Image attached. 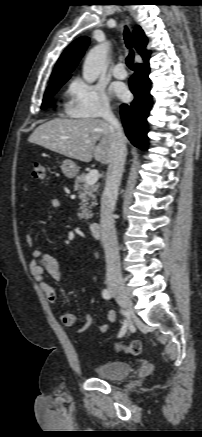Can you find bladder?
Instances as JSON below:
<instances>
[{
    "label": "bladder",
    "mask_w": 202,
    "mask_h": 437,
    "mask_svg": "<svg viewBox=\"0 0 202 437\" xmlns=\"http://www.w3.org/2000/svg\"><path fill=\"white\" fill-rule=\"evenodd\" d=\"M97 377L105 380H122L132 372V366L121 360H112L100 363L94 367Z\"/></svg>",
    "instance_id": "1"
}]
</instances>
